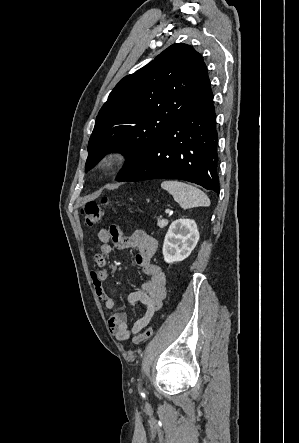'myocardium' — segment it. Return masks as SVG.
<instances>
[{"label":"myocardium","mask_w":299,"mask_h":443,"mask_svg":"<svg viewBox=\"0 0 299 443\" xmlns=\"http://www.w3.org/2000/svg\"><path fill=\"white\" fill-rule=\"evenodd\" d=\"M126 158L123 150L114 148L105 153L99 161L98 169L100 172H108L121 164Z\"/></svg>","instance_id":"obj_1"}]
</instances>
